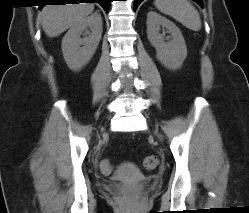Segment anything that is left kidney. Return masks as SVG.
<instances>
[{"instance_id":"5707ae66","label":"left kidney","mask_w":249,"mask_h":213,"mask_svg":"<svg viewBox=\"0 0 249 213\" xmlns=\"http://www.w3.org/2000/svg\"><path fill=\"white\" fill-rule=\"evenodd\" d=\"M160 27L165 28L170 36L165 42L164 35L159 33ZM148 40L157 52V59L168 69H179L187 57L184 37L179 28L169 19L150 11L147 14Z\"/></svg>"}]
</instances>
